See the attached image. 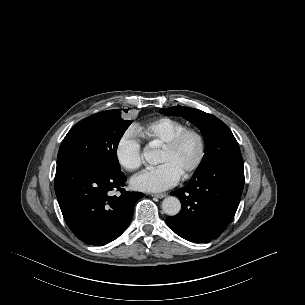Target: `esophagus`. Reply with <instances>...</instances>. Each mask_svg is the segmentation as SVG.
Listing matches in <instances>:
<instances>
[{
	"label": "esophagus",
	"mask_w": 305,
	"mask_h": 305,
	"mask_svg": "<svg viewBox=\"0 0 305 305\" xmlns=\"http://www.w3.org/2000/svg\"><path fill=\"white\" fill-rule=\"evenodd\" d=\"M152 197H156V198H159V199H162L164 197L167 196L166 193H162V194H151Z\"/></svg>",
	"instance_id": "1"
}]
</instances>
